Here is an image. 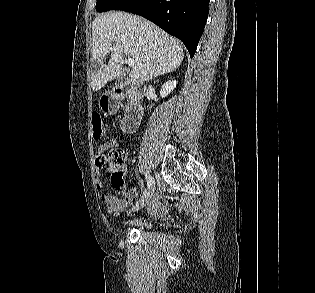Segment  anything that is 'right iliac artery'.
<instances>
[{
    "instance_id": "1",
    "label": "right iliac artery",
    "mask_w": 315,
    "mask_h": 293,
    "mask_svg": "<svg viewBox=\"0 0 315 293\" xmlns=\"http://www.w3.org/2000/svg\"><path fill=\"white\" fill-rule=\"evenodd\" d=\"M145 177H146V181H147V185H148V188L150 189V187L152 186V184H153V180H152V177H151V175H149V174H145Z\"/></svg>"
}]
</instances>
